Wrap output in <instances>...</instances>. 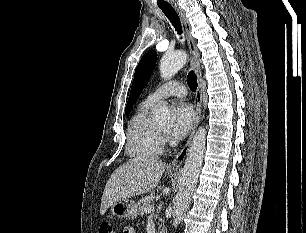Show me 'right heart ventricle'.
<instances>
[{"label":"right heart ventricle","mask_w":306,"mask_h":233,"mask_svg":"<svg viewBox=\"0 0 306 233\" xmlns=\"http://www.w3.org/2000/svg\"><path fill=\"white\" fill-rule=\"evenodd\" d=\"M154 105L142 102L130 120L126 152L134 160L155 159L163 150L162 135L151 122Z\"/></svg>","instance_id":"obj_1"}]
</instances>
